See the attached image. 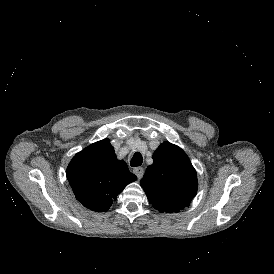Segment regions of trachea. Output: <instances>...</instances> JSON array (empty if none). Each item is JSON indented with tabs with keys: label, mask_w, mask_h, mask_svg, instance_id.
Listing matches in <instances>:
<instances>
[{
	"label": "trachea",
	"mask_w": 274,
	"mask_h": 274,
	"mask_svg": "<svg viewBox=\"0 0 274 274\" xmlns=\"http://www.w3.org/2000/svg\"><path fill=\"white\" fill-rule=\"evenodd\" d=\"M143 162V157L140 152H135L131 158L130 165L132 167H138L142 164Z\"/></svg>",
	"instance_id": "obj_1"
}]
</instances>
